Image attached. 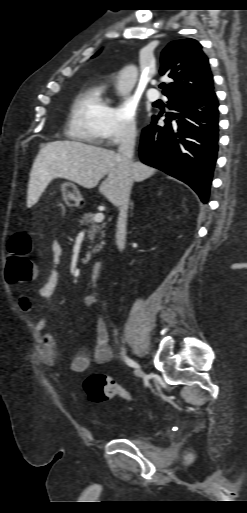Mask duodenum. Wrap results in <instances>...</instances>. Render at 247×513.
I'll return each instance as SVG.
<instances>
[{"mask_svg":"<svg viewBox=\"0 0 247 513\" xmlns=\"http://www.w3.org/2000/svg\"><path fill=\"white\" fill-rule=\"evenodd\" d=\"M103 264L102 262H95L92 267L91 279L94 282H97L101 276Z\"/></svg>","mask_w":247,"mask_h":513,"instance_id":"1","label":"duodenum"}]
</instances>
